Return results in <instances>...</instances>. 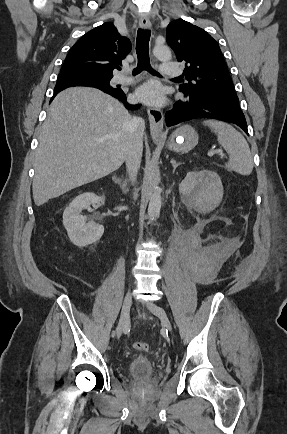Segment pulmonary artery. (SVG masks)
Wrapping results in <instances>:
<instances>
[{
  "mask_svg": "<svg viewBox=\"0 0 287 434\" xmlns=\"http://www.w3.org/2000/svg\"><path fill=\"white\" fill-rule=\"evenodd\" d=\"M161 73L165 76H179L182 73L181 67L174 63H162ZM116 82L120 84H127L132 82L134 79L129 77L126 72L119 74L116 77Z\"/></svg>",
  "mask_w": 287,
  "mask_h": 434,
  "instance_id": "obj_1",
  "label": "pulmonary artery"
}]
</instances>
